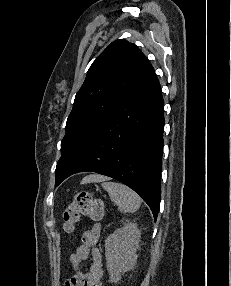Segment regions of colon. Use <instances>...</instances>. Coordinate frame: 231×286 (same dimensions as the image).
Wrapping results in <instances>:
<instances>
[{"instance_id":"5ec220e1","label":"colon","mask_w":231,"mask_h":286,"mask_svg":"<svg viewBox=\"0 0 231 286\" xmlns=\"http://www.w3.org/2000/svg\"><path fill=\"white\" fill-rule=\"evenodd\" d=\"M104 207L100 199L89 192H79L62 214L63 227L68 233L73 232L81 218L99 220L103 217Z\"/></svg>"}]
</instances>
